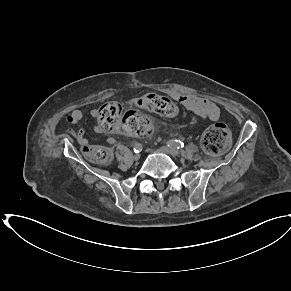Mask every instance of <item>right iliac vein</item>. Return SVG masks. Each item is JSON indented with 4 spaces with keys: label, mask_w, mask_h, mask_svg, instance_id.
I'll use <instances>...</instances> for the list:
<instances>
[{
    "label": "right iliac vein",
    "mask_w": 291,
    "mask_h": 291,
    "mask_svg": "<svg viewBox=\"0 0 291 291\" xmlns=\"http://www.w3.org/2000/svg\"><path fill=\"white\" fill-rule=\"evenodd\" d=\"M133 159H134L135 161L139 160V159H140V154H139V153L135 154V155L133 156Z\"/></svg>",
    "instance_id": "1"
}]
</instances>
